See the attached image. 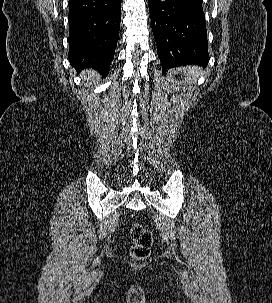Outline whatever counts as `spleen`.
Returning <instances> with one entry per match:
<instances>
[{
  "label": "spleen",
  "mask_w": 272,
  "mask_h": 303,
  "mask_svg": "<svg viewBox=\"0 0 272 303\" xmlns=\"http://www.w3.org/2000/svg\"><path fill=\"white\" fill-rule=\"evenodd\" d=\"M182 71L188 76L193 79H196L200 76L201 74V69L196 66H190V67H184Z\"/></svg>",
  "instance_id": "3e777b00"
}]
</instances>
